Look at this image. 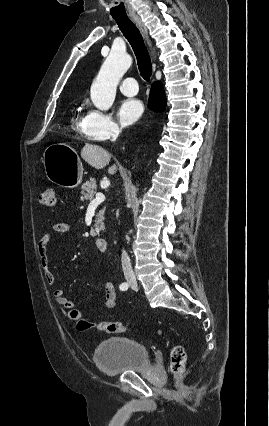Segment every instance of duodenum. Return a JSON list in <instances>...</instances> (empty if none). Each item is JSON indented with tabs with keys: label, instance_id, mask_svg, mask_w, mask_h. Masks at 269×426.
I'll return each instance as SVG.
<instances>
[{
	"label": "duodenum",
	"instance_id": "1",
	"mask_svg": "<svg viewBox=\"0 0 269 426\" xmlns=\"http://www.w3.org/2000/svg\"><path fill=\"white\" fill-rule=\"evenodd\" d=\"M96 246L98 248L99 251L101 252H106L108 249V241L106 238L103 237H99L96 240Z\"/></svg>",
	"mask_w": 269,
	"mask_h": 426
}]
</instances>
